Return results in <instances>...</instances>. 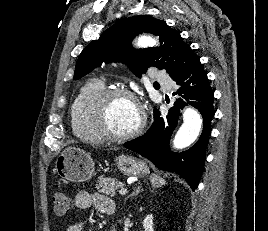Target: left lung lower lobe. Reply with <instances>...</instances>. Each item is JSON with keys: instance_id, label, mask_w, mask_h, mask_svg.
<instances>
[{"instance_id": "0a47b994", "label": "left lung lower lobe", "mask_w": 268, "mask_h": 231, "mask_svg": "<svg viewBox=\"0 0 268 231\" xmlns=\"http://www.w3.org/2000/svg\"><path fill=\"white\" fill-rule=\"evenodd\" d=\"M178 85L174 95L180 96L166 117L154 115L151 128L142 136L126 142L123 146L146 157L159 169L181 175L195 190L202 175L211 120L214 115V94L199 58H194L180 74L171 77ZM199 109L203 116V131L194 146L182 153L168 148L170 136L177 126L180 110L186 105Z\"/></svg>"}]
</instances>
